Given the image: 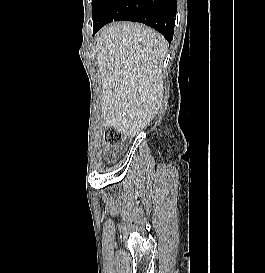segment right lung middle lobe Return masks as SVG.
Instances as JSON below:
<instances>
[{
  "instance_id": "obj_1",
  "label": "right lung middle lobe",
  "mask_w": 265,
  "mask_h": 273,
  "mask_svg": "<svg viewBox=\"0 0 265 273\" xmlns=\"http://www.w3.org/2000/svg\"><path fill=\"white\" fill-rule=\"evenodd\" d=\"M112 2L113 0H92L93 27L101 23Z\"/></svg>"
}]
</instances>
